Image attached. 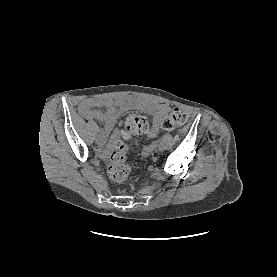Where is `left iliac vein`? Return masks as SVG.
<instances>
[{
	"label": "left iliac vein",
	"instance_id": "1",
	"mask_svg": "<svg viewBox=\"0 0 277 277\" xmlns=\"http://www.w3.org/2000/svg\"><path fill=\"white\" fill-rule=\"evenodd\" d=\"M166 148H167L166 143L160 142V143L158 144V150H159L160 152H161V151H164Z\"/></svg>",
	"mask_w": 277,
	"mask_h": 277
}]
</instances>
